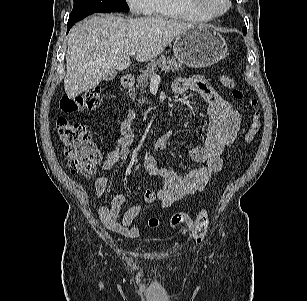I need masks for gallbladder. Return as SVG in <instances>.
Returning a JSON list of instances; mask_svg holds the SVG:
<instances>
[{
    "label": "gallbladder",
    "mask_w": 307,
    "mask_h": 301,
    "mask_svg": "<svg viewBox=\"0 0 307 301\" xmlns=\"http://www.w3.org/2000/svg\"><path fill=\"white\" fill-rule=\"evenodd\" d=\"M115 77H116V72L110 71L109 73L105 75L104 80L110 81V80H113Z\"/></svg>",
    "instance_id": "bac80fb5"
}]
</instances>
